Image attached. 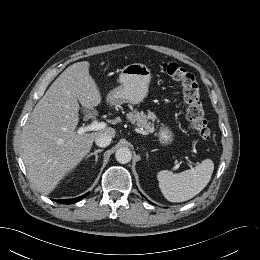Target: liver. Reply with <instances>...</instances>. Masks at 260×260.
I'll use <instances>...</instances> for the list:
<instances>
[{
    "label": "liver",
    "mask_w": 260,
    "mask_h": 260,
    "mask_svg": "<svg viewBox=\"0 0 260 260\" xmlns=\"http://www.w3.org/2000/svg\"><path fill=\"white\" fill-rule=\"evenodd\" d=\"M89 67L88 61H82L64 70L36 104L23 128L21 143L27 174L32 185L45 195L82 161L99 134H116L111 127L83 134L76 131L79 104L93 109L101 103Z\"/></svg>",
    "instance_id": "liver-1"
}]
</instances>
